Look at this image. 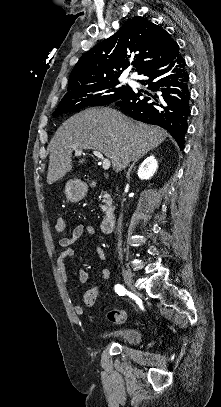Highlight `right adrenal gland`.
Here are the masks:
<instances>
[{
	"instance_id": "obj_1",
	"label": "right adrenal gland",
	"mask_w": 221,
	"mask_h": 407,
	"mask_svg": "<svg viewBox=\"0 0 221 407\" xmlns=\"http://www.w3.org/2000/svg\"><path fill=\"white\" fill-rule=\"evenodd\" d=\"M143 156H144V155H142V156H140L139 158L135 159V160L133 161V163L131 164V166L129 167L128 172H127V179H128V180H130V173H131V170H132V168L134 167L135 163H136L140 158H142Z\"/></svg>"
}]
</instances>
